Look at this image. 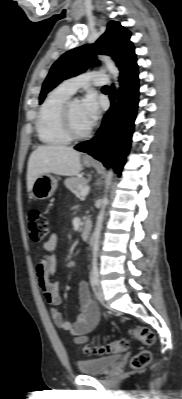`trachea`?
Wrapping results in <instances>:
<instances>
[{"label":"trachea","mask_w":182,"mask_h":399,"mask_svg":"<svg viewBox=\"0 0 182 399\" xmlns=\"http://www.w3.org/2000/svg\"><path fill=\"white\" fill-rule=\"evenodd\" d=\"M103 89H109V87L108 86H104Z\"/></svg>","instance_id":"1"}]
</instances>
